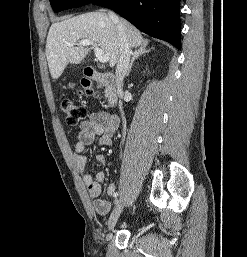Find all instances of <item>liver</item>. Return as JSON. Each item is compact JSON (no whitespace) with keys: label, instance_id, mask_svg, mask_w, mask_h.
<instances>
[{"label":"liver","instance_id":"6515ba94","mask_svg":"<svg viewBox=\"0 0 247 257\" xmlns=\"http://www.w3.org/2000/svg\"><path fill=\"white\" fill-rule=\"evenodd\" d=\"M130 47L147 45L141 32L125 20H121ZM98 43L109 57L113 67L120 57V37L117 25L104 12H90L53 23L46 41V57L53 79H58L66 66L81 63L88 55L90 48L78 45L82 40ZM67 43H73L68 46Z\"/></svg>","mask_w":247,"mask_h":257}]
</instances>
